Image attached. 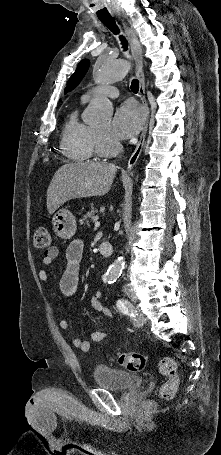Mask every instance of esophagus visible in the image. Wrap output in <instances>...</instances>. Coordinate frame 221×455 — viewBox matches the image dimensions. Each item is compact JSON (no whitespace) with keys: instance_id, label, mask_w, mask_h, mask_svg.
Instances as JSON below:
<instances>
[{"instance_id":"obj_1","label":"esophagus","mask_w":221,"mask_h":455,"mask_svg":"<svg viewBox=\"0 0 221 455\" xmlns=\"http://www.w3.org/2000/svg\"><path fill=\"white\" fill-rule=\"evenodd\" d=\"M122 22H123L125 32L130 41L132 56L136 63V77L139 80V96H140L142 104L145 108V122H144V126L142 129L140 138H139V142H138L137 147L135 148L134 152L130 156V158L127 162V165H126V170L129 172L132 169V167L136 164V162L142 152L147 129H148L150 110H149V106H148V103L146 100V95H145V78H144V73H143L142 49H141L139 40H138L135 32L131 28H129L124 21H122Z\"/></svg>"}]
</instances>
